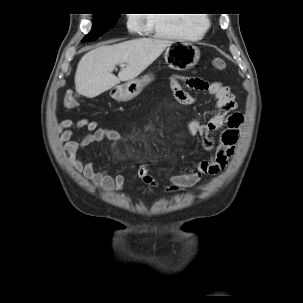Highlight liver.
<instances>
[{
	"mask_svg": "<svg viewBox=\"0 0 303 303\" xmlns=\"http://www.w3.org/2000/svg\"><path fill=\"white\" fill-rule=\"evenodd\" d=\"M172 43L167 39L139 38L114 45H102L86 53L75 73L76 92L94 98L121 81L135 79ZM122 65L118 77L112 74Z\"/></svg>",
	"mask_w": 303,
	"mask_h": 303,
	"instance_id": "liver-1",
	"label": "liver"
}]
</instances>
